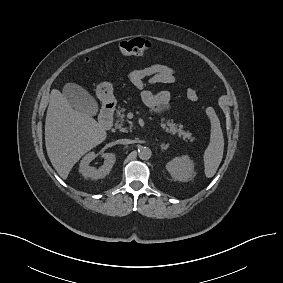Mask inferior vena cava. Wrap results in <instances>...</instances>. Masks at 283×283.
I'll list each match as a JSON object with an SVG mask.
<instances>
[{"label":"inferior vena cava","mask_w":283,"mask_h":283,"mask_svg":"<svg viewBox=\"0 0 283 283\" xmlns=\"http://www.w3.org/2000/svg\"><path fill=\"white\" fill-rule=\"evenodd\" d=\"M119 142H120V144H130L131 140H129V139H120Z\"/></svg>","instance_id":"obj_1"}]
</instances>
